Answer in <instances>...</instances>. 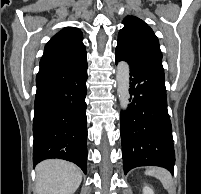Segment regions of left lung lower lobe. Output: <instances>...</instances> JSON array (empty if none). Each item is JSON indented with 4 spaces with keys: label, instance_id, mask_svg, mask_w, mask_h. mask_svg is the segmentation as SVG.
Returning a JSON list of instances; mask_svg holds the SVG:
<instances>
[{
    "label": "left lung lower lobe",
    "instance_id": "obj_1",
    "mask_svg": "<svg viewBox=\"0 0 201 194\" xmlns=\"http://www.w3.org/2000/svg\"><path fill=\"white\" fill-rule=\"evenodd\" d=\"M115 59L130 65V104L120 118L125 173L139 166L173 172L175 151L162 63L131 55L121 47H116Z\"/></svg>",
    "mask_w": 201,
    "mask_h": 194
}]
</instances>
